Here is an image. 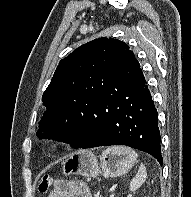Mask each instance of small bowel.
<instances>
[{
  "instance_id": "c3829d8e",
  "label": "small bowel",
  "mask_w": 191,
  "mask_h": 197,
  "mask_svg": "<svg viewBox=\"0 0 191 197\" xmlns=\"http://www.w3.org/2000/svg\"><path fill=\"white\" fill-rule=\"evenodd\" d=\"M49 197H91V195L84 185L66 183L53 191Z\"/></svg>"
}]
</instances>
